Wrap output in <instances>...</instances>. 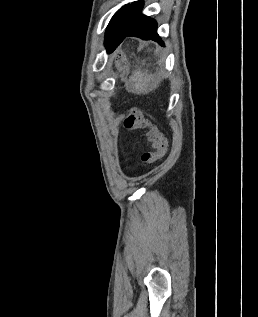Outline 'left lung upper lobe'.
<instances>
[{
    "label": "left lung upper lobe",
    "instance_id": "left-lung-upper-lobe-1",
    "mask_svg": "<svg viewBox=\"0 0 258 317\" xmlns=\"http://www.w3.org/2000/svg\"><path fill=\"white\" fill-rule=\"evenodd\" d=\"M129 7L130 4H127L119 9L112 17L107 29H122L128 20Z\"/></svg>",
    "mask_w": 258,
    "mask_h": 317
}]
</instances>
